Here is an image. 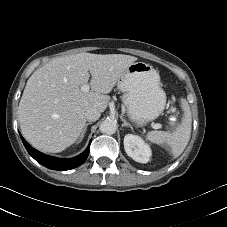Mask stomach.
Segmentation results:
<instances>
[{
  "label": "stomach",
  "mask_w": 227,
  "mask_h": 227,
  "mask_svg": "<svg viewBox=\"0 0 227 227\" xmlns=\"http://www.w3.org/2000/svg\"><path fill=\"white\" fill-rule=\"evenodd\" d=\"M128 117L142 127L155 120L165 109L166 94L160 75L150 64L132 63L117 82Z\"/></svg>",
  "instance_id": "0dacf381"
}]
</instances>
